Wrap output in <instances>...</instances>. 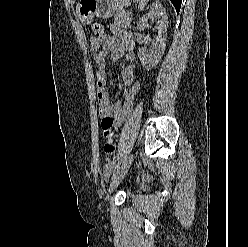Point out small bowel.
Instances as JSON below:
<instances>
[{
    "instance_id": "small-bowel-1",
    "label": "small bowel",
    "mask_w": 248,
    "mask_h": 247,
    "mask_svg": "<svg viewBox=\"0 0 248 247\" xmlns=\"http://www.w3.org/2000/svg\"><path fill=\"white\" fill-rule=\"evenodd\" d=\"M113 35L104 34L102 37L94 35L90 38V51L97 65L95 71L96 88L99 102V113L101 116V130L106 139L104 145L105 152V172H109L114 164L113 155L116 150V133L113 130L117 115L121 109L122 98L126 95V89L122 97L115 103L111 101L106 88V56L109 54L112 61L122 58L126 50H131L134 46L133 36L124 30L111 27ZM134 65L127 64L121 71V80L125 88L134 83Z\"/></svg>"
}]
</instances>
